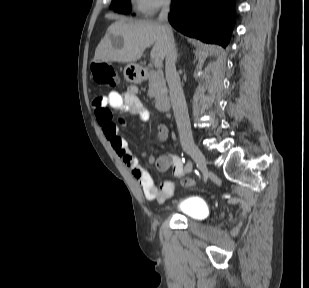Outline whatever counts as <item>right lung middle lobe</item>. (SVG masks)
I'll use <instances>...</instances> for the list:
<instances>
[{"label":"right lung middle lobe","instance_id":"obj_1","mask_svg":"<svg viewBox=\"0 0 309 288\" xmlns=\"http://www.w3.org/2000/svg\"><path fill=\"white\" fill-rule=\"evenodd\" d=\"M110 8L119 13H128L130 11V0H112Z\"/></svg>","mask_w":309,"mask_h":288}]
</instances>
